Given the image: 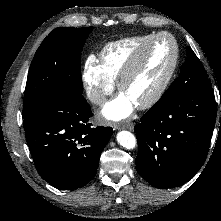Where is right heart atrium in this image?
<instances>
[{
	"label": "right heart atrium",
	"mask_w": 221,
	"mask_h": 221,
	"mask_svg": "<svg viewBox=\"0 0 221 221\" xmlns=\"http://www.w3.org/2000/svg\"><path fill=\"white\" fill-rule=\"evenodd\" d=\"M83 82L89 101L98 106L105 103L115 86L93 56L88 57L84 63Z\"/></svg>",
	"instance_id": "1"
}]
</instances>
